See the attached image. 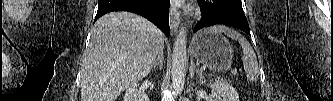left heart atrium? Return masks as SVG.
Here are the masks:
<instances>
[{
    "instance_id": "1",
    "label": "left heart atrium",
    "mask_w": 333,
    "mask_h": 101,
    "mask_svg": "<svg viewBox=\"0 0 333 101\" xmlns=\"http://www.w3.org/2000/svg\"><path fill=\"white\" fill-rule=\"evenodd\" d=\"M174 2H175V4L180 5V4H182L184 1H182V0H176V1H174Z\"/></svg>"
}]
</instances>
